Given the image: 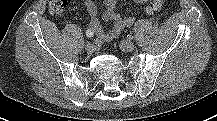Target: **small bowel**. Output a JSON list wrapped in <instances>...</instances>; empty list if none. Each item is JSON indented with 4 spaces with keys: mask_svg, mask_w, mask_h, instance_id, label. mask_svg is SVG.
<instances>
[{
    "mask_svg": "<svg viewBox=\"0 0 217 121\" xmlns=\"http://www.w3.org/2000/svg\"><path fill=\"white\" fill-rule=\"evenodd\" d=\"M104 4V12L102 19L105 22H113V27L109 31H104L99 18L97 17L98 7L96 0H82L87 12L91 18L90 30H92L98 37L97 42H109L116 39L123 30L131 27L135 19L132 16H122L116 11L117 0H102ZM137 3H145L149 1L146 7V13L153 15L163 7L164 0H133Z\"/></svg>",
    "mask_w": 217,
    "mask_h": 121,
    "instance_id": "1",
    "label": "small bowel"
}]
</instances>
